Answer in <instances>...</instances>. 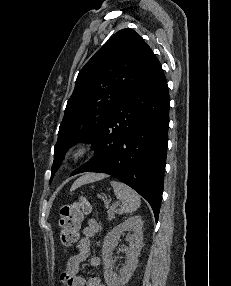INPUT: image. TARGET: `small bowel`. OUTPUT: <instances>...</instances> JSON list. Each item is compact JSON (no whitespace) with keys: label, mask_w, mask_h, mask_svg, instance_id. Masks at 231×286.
I'll return each mask as SVG.
<instances>
[{"label":"small bowel","mask_w":231,"mask_h":286,"mask_svg":"<svg viewBox=\"0 0 231 286\" xmlns=\"http://www.w3.org/2000/svg\"><path fill=\"white\" fill-rule=\"evenodd\" d=\"M99 223L95 219H89L82 231V238L78 242L77 251L71 255L61 272L60 279L63 286H105L98 276L86 278L79 274L81 264L90 256L91 241L99 231ZM101 265L98 257L90 259L91 268L96 271Z\"/></svg>","instance_id":"1"}]
</instances>
